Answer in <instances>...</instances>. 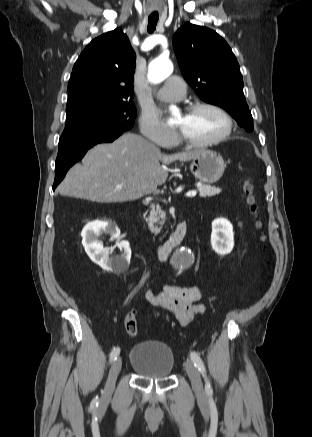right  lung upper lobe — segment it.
Wrapping results in <instances>:
<instances>
[{
    "label": "right lung upper lobe",
    "instance_id": "cb5924a9",
    "mask_svg": "<svg viewBox=\"0 0 312 437\" xmlns=\"http://www.w3.org/2000/svg\"><path fill=\"white\" fill-rule=\"evenodd\" d=\"M136 55L120 29L90 42L76 61L67 107L82 102H130Z\"/></svg>",
    "mask_w": 312,
    "mask_h": 437
}]
</instances>
